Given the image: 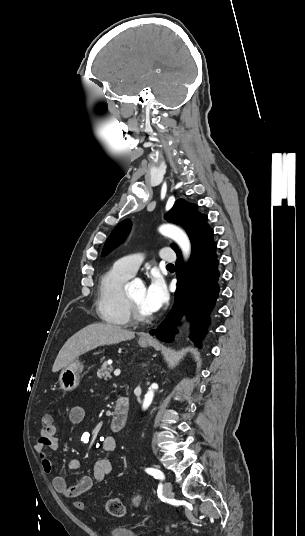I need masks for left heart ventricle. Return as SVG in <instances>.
I'll return each instance as SVG.
<instances>
[{
    "label": "left heart ventricle",
    "instance_id": "b2bd125f",
    "mask_svg": "<svg viewBox=\"0 0 305 536\" xmlns=\"http://www.w3.org/2000/svg\"><path fill=\"white\" fill-rule=\"evenodd\" d=\"M127 293L129 294L132 302L138 307V309H140L143 313H150L143 303L145 289L142 286L134 287Z\"/></svg>",
    "mask_w": 305,
    "mask_h": 536
}]
</instances>
